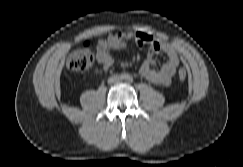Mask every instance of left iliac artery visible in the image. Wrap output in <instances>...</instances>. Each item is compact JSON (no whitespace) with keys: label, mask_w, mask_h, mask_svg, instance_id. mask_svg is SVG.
<instances>
[{"label":"left iliac artery","mask_w":243,"mask_h":167,"mask_svg":"<svg viewBox=\"0 0 243 167\" xmlns=\"http://www.w3.org/2000/svg\"><path fill=\"white\" fill-rule=\"evenodd\" d=\"M129 80L132 81V77H129Z\"/></svg>","instance_id":"44dca946"}]
</instances>
